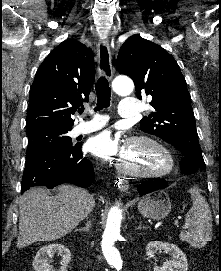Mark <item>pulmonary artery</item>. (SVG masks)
<instances>
[{"mask_svg":"<svg viewBox=\"0 0 221 271\" xmlns=\"http://www.w3.org/2000/svg\"><path fill=\"white\" fill-rule=\"evenodd\" d=\"M139 98H123L120 107V117H138V112L144 111V102H139ZM95 116H99V113H95ZM111 117H90L88 126H105L106 122H111ZM101 127H95L93 129L83 126L79 127V133L87 134L98 130Z\"/></svg>","mask_w":221,"mask_h":271,"instance_id":"obj_1","label":"pulmonary artery"}]
</instances>
